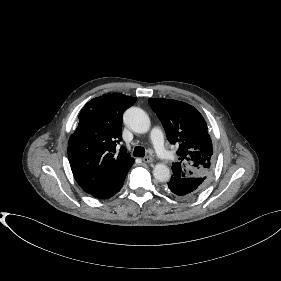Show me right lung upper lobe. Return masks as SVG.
<instances>
[{
	"mask_svg": "<svg viewBox=\"0 0 281 281\" xmlns=\"http://www.w3.org/2000/svg\"><path fill=\"white\" fill-rule=\"evenodd\" d=\"M136 98L120 93L90 100L79 114V125L68 142V159L75 180L97 198H105L123 182L134 159L122 147V116Z\"/></svg>",
	"mask_w": 281,
	"mask_h": 281,
	"instance_id": "cb5924a9",
	"label": "right lung upper lobe"
}]
</instances>
